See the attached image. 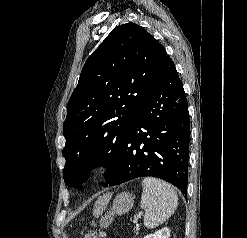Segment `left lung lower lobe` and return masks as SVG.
<instances>
[{
  "label": "left lung lower lobe",
  "mask_w": 247,
  "mask_h": 238,
  "mask_svg": "<svg viewBox=\"0 0 247 238\" xmlns=\"http://www.w3.org/2000/svg\"><path fill=\"white\" fill-rule=\"evenodd\" d=\"M189 141L188 104L175 65L168 57L130 127L119 164L108 185L152 176L185 192Z\"/></svg>",
  "instance_id": "0a47b994"
}]
</instances>
